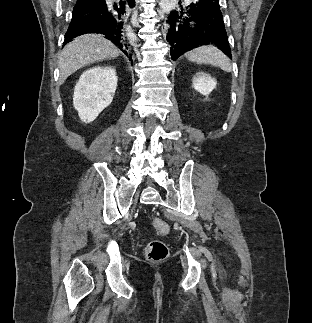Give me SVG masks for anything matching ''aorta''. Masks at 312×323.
<instances>
[{
	"instance_id": "1",
	"label": "aorta",
	"mask_w": 312,
	"mask_h": 323,
	"mask_svg": "<svg viewBox=\"0 0 312 323\" xmlns=\"http://www.w3.org/2000/svg\"><path fill=\"white\" fill-rule=\"evenodd\" d=\"M128 40H130V44H134V42H137L135 34H128Z\"/></svg>"
}]
</instances>
